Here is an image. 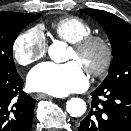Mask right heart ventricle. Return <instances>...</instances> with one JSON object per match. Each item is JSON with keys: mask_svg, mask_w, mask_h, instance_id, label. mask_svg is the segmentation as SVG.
<instances>
[{"mask_svg": "<svg viewBox=\"0 0 131 131\" xmlns=\"http://www.w3.org/2000/svg\"><path fill=\"white\" fill-rule=\"evenodd\" d=\"M51 28L57 37L71 44L91 35L93 32L90 24L74 16L63 17L54 21Z\"/></svg>", "mask_w": 131, "mask_h": 131, "instance_id": "obj_1", "label": "right heart ventricle"}]
</instances>
